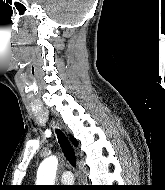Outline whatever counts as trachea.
Wrapping results in <instances>:
<instances>
[{"instance_id": "obj_1", "label": "trachea", "mask_w": 165, "mask_h": 190, "mask_svg": "<svg viewBox=\"0 0 165 190\" xmlns=\"http://www.w3.org/2000/svg\"><path fill=\"white\" fill-rule=\"evenodd\" d=\"M56 132L60 147L64 153L65 158L73 167H76V156L73 147L71 146L66 136L60 130H57Z\"/></svg>"}]
</instances>
